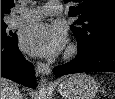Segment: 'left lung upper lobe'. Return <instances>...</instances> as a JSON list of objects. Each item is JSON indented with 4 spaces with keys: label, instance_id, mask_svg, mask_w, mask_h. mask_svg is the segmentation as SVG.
Segmentation results:
<instances>
[{
    "label": "left lung upper lobe",
    "instance_id": "1",
    "mask_svg": "<svg viewBox=\"0 0 115 99\" xmlns=\"http://www.w3.org/2000/svg\"><path fill=\"white\" fill-rule=\"evenodd\" d=\"M70 0H65L68 2ZM69 16L78 19L70 26L78 44V53L106 45H115V1L71 0Z\"/></svg>",
    "mask_w": 115,
    "mask_h": 99
}]
</instances>
